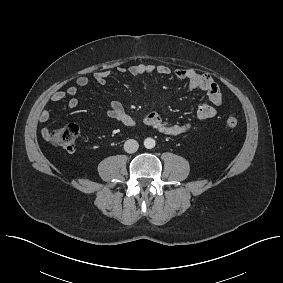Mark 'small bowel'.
<instances>
[{
	"label": "small bowel",
	"mask_w": 283,
	"mask_h": 283,
	"mask_svg": "<svg viewBox=\"0 0 283 283\" xmlns=\"http://www.w3.org/2000/svg\"><path fill=\"white\" fill-rule=\"evenodd\" d=\"M117 72L119 74L128 73L132 78L146 75L166 76L172 74L176 79L185 81L189 89L204 92L207 100L200 104L196 111L197 119L200 121L213 118L217 113L216 106L221 105L223 102L222 93L213 77L206 73H199L191 68L172 70L169 66L163 64H137L130 67H120ZM110 75V71H100L95 73L93 78L98 84L105 85ZM89 81L87 76H80L76 81V86H70L66 90H58L51 95L50 99L53 102H60L69 96L71 98L68 101V107L75 108L79 104V100L76 97L79 87L88 85ZM107 115L127 127L134 128L138 125V122L125 111L123 105L118 101L110 103ZM50 116V111L45 108L40 112L39 120L47 122ZM143 122L147 126L168 136L183 135L190 131L192 127L190 123H168L156 111L147 113L143 118ZM42 133L46 136L48 135V130L44 128Z\"/></svg>",
	"instance_id": "c3829d8e"
}]
</instances>
